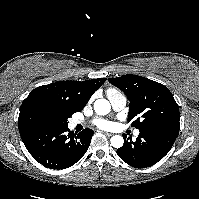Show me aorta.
I'll list each match as a JSON object with an SVG mask.
<instances>
[{"label": "aorta", "instance_id": "obj_1", "mask_svg": "<svg viewBox=\"0 0 199 199\" xmlns=\"http://www.w3.org/2000/svg\"><path fill=\"white\" fill-rule=\"evenodd\" d=\"M94 110L99 115H106L111 110V104L105 99H99L94 103ZM124 144V139L120 135H115L111 138V145L114 148H120Z\"/></svg>", "mask_w": 199, "mask_h": 199}]
</instances>
